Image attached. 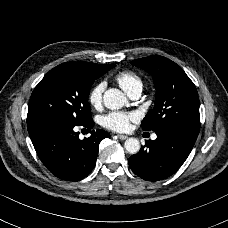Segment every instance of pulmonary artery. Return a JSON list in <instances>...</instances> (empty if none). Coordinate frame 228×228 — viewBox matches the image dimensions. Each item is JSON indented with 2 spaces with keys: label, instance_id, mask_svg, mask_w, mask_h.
Returning <instances> with one entry per match:
<instances>
[{
  "label": "pulmonary artery",
  "instance_id": "obj_1",
  "mask_svg": "<svg viewBox=\"0 0 228 228\" xmlns=\"http://www.w3.org/2000/svg\"><path fill=\"white\" fill-rule=\"evenodd\" d=\"M141 92H142V90H136V91L130 93L129 96H130L132 99L136 100V99H138V98L141 96ZM151 138H152V140H155V139L157 138V135H156V134H153V135L151 136Z\"/></svg>",
  "mask_w": 228,
  "mask_h": 228
}]
</instances>
